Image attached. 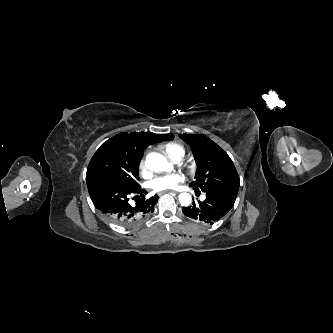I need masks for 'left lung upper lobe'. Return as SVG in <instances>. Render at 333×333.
I'll list each match as a JSON object with an SVG mask.
<instances>
[{"instance_id":"1","label":"left lung upper lobe","mask_w":333,"mask_h":333,"mask_svg":"<svg viewBox=\"0 0 333 333\" xmlns=\"http://www.w3.org/2000/svg\"><path fill=\"white\" fill-rule=\"evenodd\" d=\"M190 145L197 170L195 180L190 183L196 191L205 193H238L240 179L228 154L203 134H180Z\"/></svg>"}]
</instances>
